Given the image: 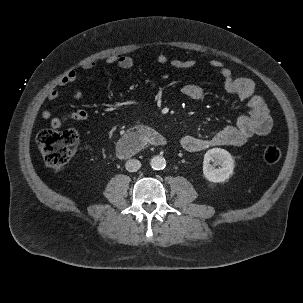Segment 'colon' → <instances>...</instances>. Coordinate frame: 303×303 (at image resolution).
Instances as JSON below:
<instances>
[{"label":"colon","instance_id":"5ec220e1","mask_svg":"<svg viewBox=\"0 0 303 303\" xmlns=\"http://www.w3.org/2000/svg\"><path fill=\"white\" fill-rule=\"evenodd\" d=\"M38 149L48 167L60 171L74 155L78 135L74 130L43 128L36 136ZM281 158V149L277 145H268L263 152V159L268 164L277 163Z\"/></svg>","mask_w":303,"mask_h":303}]
</instances>
